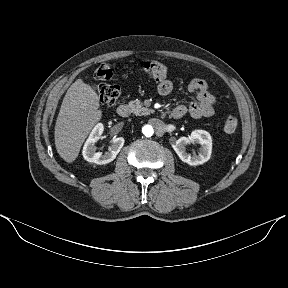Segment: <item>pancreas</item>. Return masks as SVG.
Here are the masks:
<instances>
[{
	"label": "pancreas",
	"mask_w": 288,
	"mask_h": 288,
	"mask_svg": "<svg viewBox=\"0 0 288 288\" xmlns=\"http://www.w3.org/2000/svg\"><path fill=\"white\" fill-rule=\"evenodd\" d=\"M129 107H130L131 111L135 115H138V116L148 115V114L153 112V110H151V109H149L147 107H143V103L140 100H138V99L130 101L129 102Z\"/></svg>",
	"instance_id": "cf45deb5"
}]
</instances>
